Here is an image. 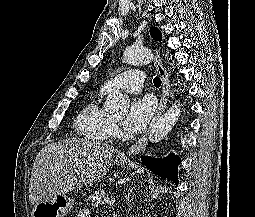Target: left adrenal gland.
<instances>
[{
	"instance_id": "1",
	"label": "left adrenal gland",
	"mask_w": 255,
	"mask_h": 217,
	"mask_svg": "<svg viewBox=\"0 0 255 217\" xmlns=\"http://www.w3.org/2000/svg\"><path fill=\"white\" fill-rule=\"evenodd\" d=\"M127 203H128V205L130 206V203H129V199L127 198ZM130 208H132V206H130Z\"/></svg>"
}]
</instances>
